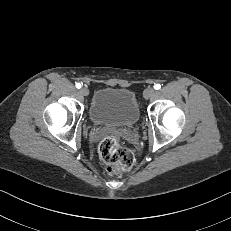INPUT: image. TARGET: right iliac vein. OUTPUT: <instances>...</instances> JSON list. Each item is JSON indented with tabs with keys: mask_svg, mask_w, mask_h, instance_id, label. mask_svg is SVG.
I'll list each match as a JSON object with an SVG mask.
<instances>
[{
	"mask_svg": "<svg viewBox=\"0 0 231 231\" xmlns=\"http://www.w3.org/2000/svg\"><path fill=\"white\" fill-rule=\"evenodd\" d=\"M80 93L83 95V96H88L89 95V90L86 88V87H82L80 89Z\"/></svg>",
	"mask_w": 231,
	"mask_h": 231,
	"instance_id": "right-iliac-vein-1",
	"label": "right iliac vein"
}]
</instances>
